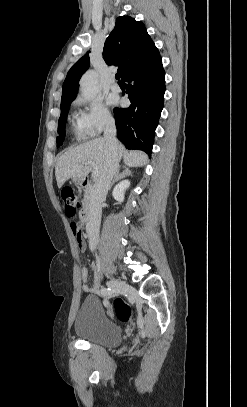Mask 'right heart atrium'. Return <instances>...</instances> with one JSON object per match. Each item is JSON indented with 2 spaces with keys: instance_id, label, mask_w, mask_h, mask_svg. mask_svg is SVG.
I'll return each mask as SVG.
<instances>
[{
  "instance_id": "right-heart-atrium-1",
  "label": "right heart atrium",
  "mask_w": 247,
  "mask_h": 407,
  "mask_svg": "<svg viewBox=\"0 0 247 407\" xmlns=\"http://www.w3.org/2000/svg\"><path fill=\"white\" fill-rule=\"evenodd\" d=\"M75 105V120L82 137H94L112 125L113 117L101 100L79 97Z\"/></svg>"
}]
</instances>
